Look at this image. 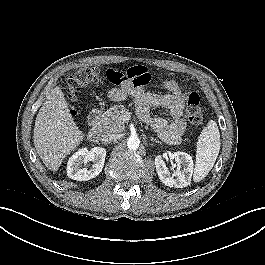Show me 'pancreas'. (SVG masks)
<instances>
[{
    "instance_id": "pancreas-1",
    "label": "pancreas",
    "mask_w": 265,
    "mask_h": 265,
    "mask_svg": "<svg viewBox=\"0 0 265 265\" xmlns=\"http://www.w3.org/2000/svg\"><path fill=\"white\" fill-rule=\"evenodd\" d=\"M125 111L124 105H115L108 109L102 118V130L105 133L122 132L125 129L122 117Z\"/></svg>"
}]
</instances>
